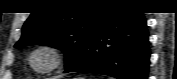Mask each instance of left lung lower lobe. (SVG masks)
I'll use <instances>...</instances> for the list:
<instances>
[{"label":"left lung lower lobe","mask_w":177,"mask_h":79,"mask_svg":"<svg viewBox=\"0 0 177 79\" xmlns=\"http://www.w3.org/2000/svg\"><path fill=\"white\" fill-rule=\"evenodd\" d=\"M149 56L143 13L111 8L65 73L85 71L118 79H147Z\"/></svg>","instance_id":"obj_1"}]
</instances>
